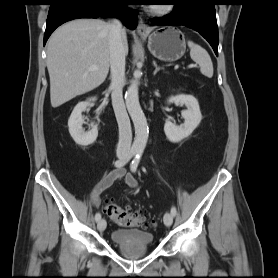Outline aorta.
<instances>
[{
  "instance_id": "1",
  "label": "aorta",
  "mask_w": 278,
  "mask_h": 278,
  "mask_svg": "<svg viewBox=\"0 0 278 278\" xmlns=\"http://www.w3.org/2000/svg\"><path fill=\"white\" fill-rule=\"evenodd\" d=\"M141 75L142 73L138 70L134 72V79L131 81L125 95L126 107L135 129L133 149L136 151H143L145 149L149 135L147 120L141 109L138 96L139 78Z\"/></svg>"
}]
</instances>
